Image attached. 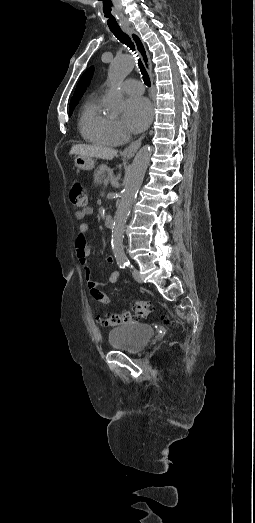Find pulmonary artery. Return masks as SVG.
I'll list each match as a JSON object with an SVG mask.
<instances>
[{"label":"pulmonary artery","mask_w":255,"mask_h":523,"mask_svg":"<svg viewBox=\"0 0 255 523\" xmlns=\"http://www.w3.org/2000/svg\"><path fill=\"white\" fill-rule=\"evenodd\" d=\"M121 88L123 91L130 93L129 97L133 101L138 100L140 94L144 91L143 84L138 80H127L122 83Z\"/></svg>","instance_id":"pulmonary-artery-1"}]
</instances>
